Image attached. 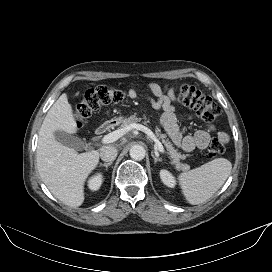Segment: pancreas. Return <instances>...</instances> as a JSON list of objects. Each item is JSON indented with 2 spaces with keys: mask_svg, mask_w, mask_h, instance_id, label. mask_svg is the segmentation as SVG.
I'll return each mask as SVG.
<instances>
[{
  "mask_svg": "<svg viewBox=\"0 0 272 272\" xmlns=\"http://www.w3.org/2000/svg\"><path fill=\"white\" fill-rule=\"evenodd\" d=\"M141 121V118H137L135 115H132L123 120L122 125L128 126L130 124L136 123ZM156 136L161 139L163 145L165 146L166 150L168 151L169 157L172 160V163L176 166L178 170H188L189 166L187 164H182L180 162L181 159H186L187 155L181 154L178 152L170 140L167 138L166 134L161 133V129L156 127L155 129Z\"/></svg>",
  "mask_w": 272,
  "mask_h": 272,
  "instance_id": "1",
  "label": "pancreas"
}]
</instances>
